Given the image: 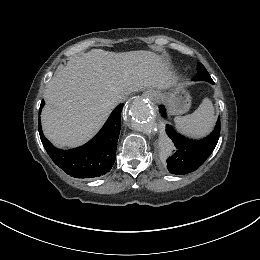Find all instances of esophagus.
<instances>
[{
    "label": "esophagus",
    "mask_w": 260,
    "mask_h": 260,
    "mask_svg": "<svg viewBox=\"0 0 260 260\" xmlns=\"http://www.w3.org/2000/svg\"><path fill=\"white\" fill-rule=\"evenodd\" d=\"M143 96L145 98H150V99H153L155 94H154V91L152 89H148L146 90L144 93H143Z\"/></svg>",
    "instance_id": "34e87169"
}]
</instances>
